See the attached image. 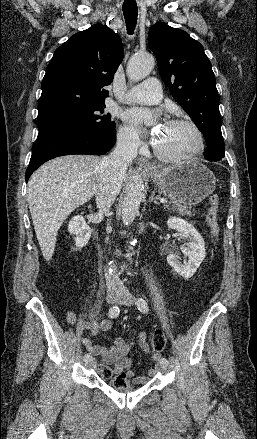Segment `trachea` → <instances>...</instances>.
I'll return each mask as SVG.
<instances>
[{
    "instance_id": "3493384b",
    "label": "trachea",
    "mask_w": 257,
    "mask_h": 439,
    "mask_svg": "<svg viewBox=\"0 0 257 439\" xmlns=\"http://www.w3.org/2000/svg\"><path fill=\"white\" fill-rule=\"evenodd\" d=\"M123 14L128 34H133L137 24V4L135 0H125L123 3Z\"/></svg>"
}]
</instances>
